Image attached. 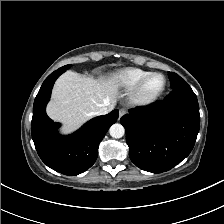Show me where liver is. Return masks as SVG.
I'll return each instance as SVG.
<instances>
[{
  "label": "liver",
  "instance_id": "obj_1",
  "mask_svg": "<svg viewBox=\"0 0 224 224\" xmlns=\"http://www.w3.org/2000/svg\"><path fill=\"white\" fill-rule=\"evenodd\" d=\"M118 91L119 83L115 77L95 79L67 71L55 83L47 114L63 124L62 134H68L95 116L101 107L112 110Z\"/></svg>",
  "mask_w": 224,
  "mask_h": 224
}]
</instances>
